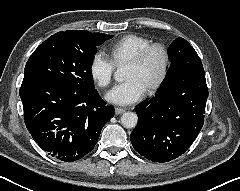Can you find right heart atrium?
Listing matches in <instances>:
<instances>
[{
  "label": "right heart atrium",
  "instance_id": "d8ad5b80",
  "mask_svg": "<svg viewBox=\"0 0 240 191\" xmlns=\"http://www.w3.org/2000/svg\"><path fill=\"white\" fill-rule=\"evenodd\" d=\"M89 70L94 82L100 87L105 88L109 86L112 81L114 63L106 54L98 52L93 55Z\"/></svg>",
  "mask_w": 240,
  "mask_h": 191
}]
</instances>
